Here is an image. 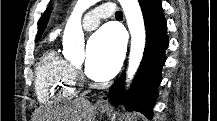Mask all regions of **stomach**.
Returning <instances> with one entry per match:
<instances>
[{
  "label": "stomach",
  "mask_w": 217,
  "mask_h": 121,
  "mask_svg": "<svg viewBox=\"0 0 217 121\" xmlns=\"http://www.w3.org/2000/svg\"><path fill=\"white\" fill-rule=\"evenodd\" d=\"M98 110L101 112V113H104L107 111L106 108H103V107H98Z\"/></svg>",
  "instance_id": "stomach-1"
}]
</instances>
